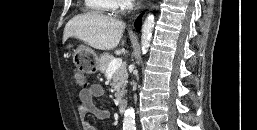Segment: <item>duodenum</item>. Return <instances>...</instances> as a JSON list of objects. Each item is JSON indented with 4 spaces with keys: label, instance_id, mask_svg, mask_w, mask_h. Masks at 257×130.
Instances as JSON below:
<instances>
[{
    "label": "duodenum",
    "instance_id": "obj_1",
    "mask_svg": "<svg viewBox=\"0 0 257 130\" xmlns=\"http://www.w3.org/2000/svg\"><path fill=\"white\" fill-rule=\"evenodd\" d=\"M118 111L123 114L126 111L127 102L125 99H119L117 103Z\"/></svg>",
    "mask_w": 257,
    "mask_h": 130
}]
</instances>
